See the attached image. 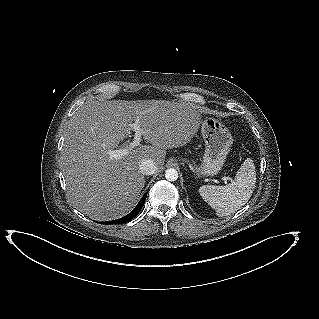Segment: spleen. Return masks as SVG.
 Returning a JSON list of instances; mask_svg holds the SVG:
<instances>
[{
    "label": "spleen",
    "instance_id": "spleen-1",
    "mask_svg": "<svg viewBox=\"0 0 319 319\" xmlns=\"http://www.w3.org/2000/svg\"><path fill=\"white\" fill-rule=\"evenodd\" d=\"M255 184V166L252 159L247 158L236 172L233 182L226 186L203 185L199 193L218 216H227L248 202Z\"/></svg>",
    "mask_w": 319,
    "mask_h": 319
}]
</instances>
